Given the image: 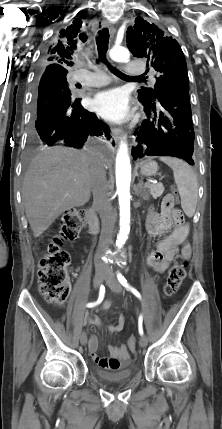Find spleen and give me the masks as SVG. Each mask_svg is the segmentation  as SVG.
Listing matches in <instances>:
<instances>
[{
	"label": "spleen",
	"instance_id": "3e777b00",
	"mask_svg": "<svg viewBox=\"0 0 222 429\" xmlns=\"http://www.w3.org/2000/svg\"><path fill=\"white\" fill-rule=\"evenodd\" d=\"M172 170L177 185L181 207L188 217H192L198 201V182L192 168L183 160L172 157H160Z\"/></svg>",
	"mask_w": 222,
	"mask_h": 429
}]
</instances>
